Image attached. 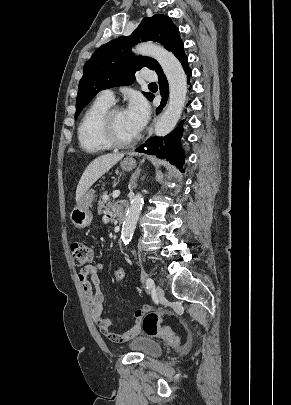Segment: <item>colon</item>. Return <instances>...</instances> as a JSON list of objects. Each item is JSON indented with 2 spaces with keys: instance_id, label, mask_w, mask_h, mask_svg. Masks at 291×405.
<instances>
[{
  "instance_id": "colon-1",
  "label": "colon",
  "mask_w": 291,
  "mask_h": 405,
  "mask_svg": "<svg viewBox=\"0 0 291 405\" xmlns=\"http://www.w3.org/2000/svg\"><path fill=\"white\" fill-rule=\"evenodd\" d=\"M72 263L75 267L90 265L94 260V249L83 241H74L71 244ZM113 278L116 282H123L125 279L124 269L121 267L113 271ZM163 314L160 312H149L141 321V329L152 337H157L170 345L179 344V337L170 327L161 326Z\"/></svg>"
}]
</instances>
